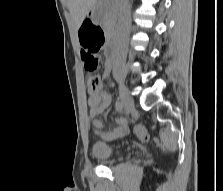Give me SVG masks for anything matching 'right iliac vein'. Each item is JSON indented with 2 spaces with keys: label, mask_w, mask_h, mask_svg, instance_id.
Masks as SVG:
<instances>
[{
  "label": "right iliac vein",
  "mask_w": 223,
  "mask_h": 191,
  "mask_svg": "<svg viewBox=\"0 0 223 191\" xmlns=\"http://www.w3.org/2000/svg\"><path fill=\"white\" fill-rule=\"evenodd\" d=\"M120 99L124 103L126 109L130 112L134 108V101L130 96L123 80L119 81Z\"/></svg>",
  "instance_id": "1"
}]
</instances>
